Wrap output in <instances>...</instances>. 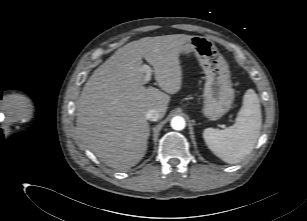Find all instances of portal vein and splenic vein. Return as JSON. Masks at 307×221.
Listing matches in <instances>:
<instances>
[{"mask_svg": "<svg viewBox=\"0 0 307 221\" xmlns=\"http://www.w3.org/2000/svg\"><path fill=\"white\" fill-rule=\"evenodd\" d=\"M143 70L145 71L146 75L144 77V84L148 83V81H150L151 79V72H152V69L150 66L148 65H144L143 66Z\"/></svg>", "mask_w": 307, "mask_h": 221, "instance_id": "obj_1", "label": "portal vein and splenic vein"}]
</instances>
